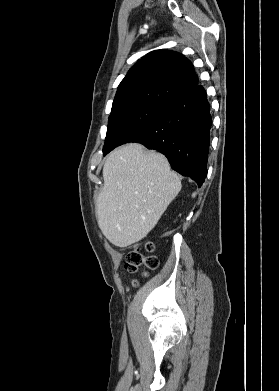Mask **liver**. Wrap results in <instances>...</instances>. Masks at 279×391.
<instances>
[{
  "mask_svg": "<svg viewBox=\"0 0 279 391\" xmlns=\"http://www.w3.org/2000/svg\"><path fill=\"white\" fill-rule=\"evenodd\" d=\"M96 217L104 236L127 247L147 236L181 190L166 157L131 143L113 151L103 167Z\"/></svg>",
  "mask_w": 279,
  "mask_h": 391,
  "instance_id": "liver-1",
  "label": "liver"
}]
</instances>
